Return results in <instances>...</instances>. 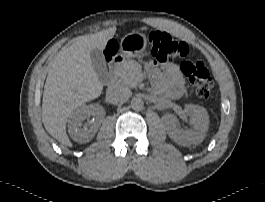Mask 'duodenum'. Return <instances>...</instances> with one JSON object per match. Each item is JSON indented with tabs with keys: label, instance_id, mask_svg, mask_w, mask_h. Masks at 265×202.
I'll use <instances>...</instances> for the list:
<instances>
[{
	"label": "duodenum",
	"instance_id": "1",
	"mask_svg": "<svg viewBox=\"0 0 265 202\" xmlns=\"http://www.w3.org/2000/svg\"><path fill=\"white\" fill-rule=\"evenodd\" d=\"M123 61H124V58L121 55H116L114 57V60L109 65V71L106 77L107 84H112L115 81L116 76H117L118 67Z\"/></svg>",
	"mask_w": 265,
	"mask_h": 202
}]
</instances>
